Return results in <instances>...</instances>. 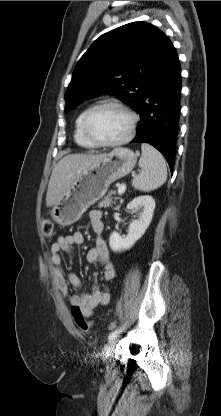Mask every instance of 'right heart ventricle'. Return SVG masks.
<instances>
[{"label":"right heart ventricle","instance_id":"e07e8e85","mask_svg":"<svg viewBox=\"0 0 221 416\" xmlns=\"http://www.w3.org/2000/svg\"><path fill=\"white\" fill-rule=\"evenodd\" d=\"M91 107L92 105L83 108L75 120L74 140L79 146L84 148H94L96 146L85 136L82 128L83 119Z\"/></svg>","mask_w":221,"mask_h":416}]
</instances>
